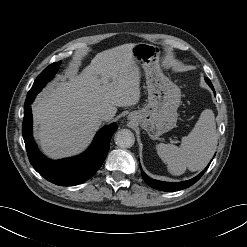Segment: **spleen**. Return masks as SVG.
<instances>
[{"label": "spleen", "instance_id": "1", "mask_svg": "<svg viewBox=\"0 0 247 247\" xmlns=\"http://www.w3.org/2000/svg\"><path fill=\"white\" fill-rule=\"evenodd\" d=\"M217 140L214 113L206 109L189 135L182 138L180 147L160 143L156 149L159 157L167 164L168 171L180 175L186 168L198 171L205 167L215 152Z\"/></svg>", "mask_w": 247, "mask_h": 247}]
</instances>
